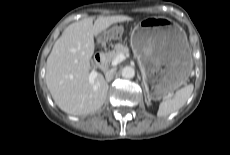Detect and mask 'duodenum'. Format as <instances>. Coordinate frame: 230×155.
Here are the masks:
<instances>
[{
  "mask_svg": "<svg viewBox=\"0 0 230 155\" xmlns=\"http://www.w3.org/2000/svg\"><path fill=\"white\" fill-rule=\"evenodd\" d=\"M95 60L97 62V65L100 69L106 66V59L105 55L102 52H99L95 55Z\"/></svg>",
  "mask_w": 230,
  "mask_h": 155,
  "instance_id": "duodenum-1",
  "label": "duodenum"
}]
</instances>
